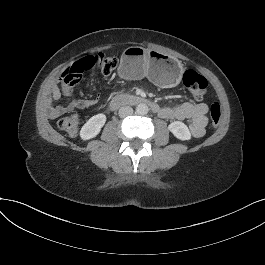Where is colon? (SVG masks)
<instances>
[{
	"label": "colon",
	"instance_id": "5ec220e1",
	"mask_svg": "<svg viewBox=\"0 0 265 265\" xmlns=\"http://www.w3.org/2000/svg\"><path fill=\"white\" fill-rule=\"evenodd\" d=\"M117 66L114 56H105L103 53L86 56L66 69L61 76L63 88H73L79 83L82 73L100 68L104 75H110ZM183 83L196 99H202L207 92V80L194 70H187L183 74ZM211 123L216 127L221 119V107L215 102L210 107ZM80 126V116L73 112L58 121V127L69 136L77 134Z\"/></svg>",
	"mask_w": 265,
	"mask_h": 265
}]
</instances>
